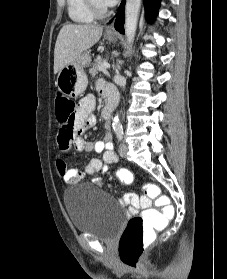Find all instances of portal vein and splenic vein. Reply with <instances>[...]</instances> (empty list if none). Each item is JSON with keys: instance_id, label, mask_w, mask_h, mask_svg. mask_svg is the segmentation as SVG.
<instances>
[{"instance_id": "1", "label": "portal vein and splenic vein", "mask_w": 227, "mask_h": 279, "mask_svg": "<svg viewBox=\"0 0 227 279\" xmlns=\"http://www.w3.org/2000/svg\"><path fill=\"white\" fill-rule=\"evenodd\" d=\"M110 68V65L108 63H104L103 65H101V67L99 68V71L105 72L107 69Z\"/></svg>"}]
</instances>
